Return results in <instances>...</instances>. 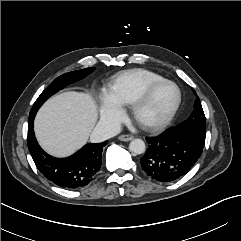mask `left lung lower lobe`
Instances as JSON below:
<instances>
[{"label":"left lung lower lobe","instance_id":"0a47b994","mask_svg":"<svg viewBox=\"0 0 241 241\" xmlns=\"http://www.w3.org/2000/svg\"><path fill=\"white\" fill-rule=\"evenodd\" d=\"M146 140L149 146L140 159L141 166L149 177L160 182H172L183 177L203 151V146L193 135L177 128Z\"/></svg>","mask_w":241,"mask_h":241}]
</instances>
